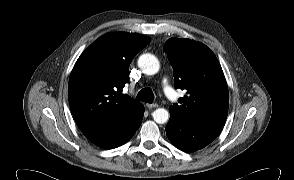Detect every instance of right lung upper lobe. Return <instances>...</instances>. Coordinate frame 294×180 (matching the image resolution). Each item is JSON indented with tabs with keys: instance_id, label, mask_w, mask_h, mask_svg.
I'll return each mask as SVG.
<instances>
[{
	"instance_id": "cb5924a9",
	"label": "right lung upper lobe",
	"mask_w": 294,
	"mask_h": 180,
	"mask_svg": "<svg viewBox=\"0 0 294 180\" xmlns=\"http://www.w3.org/2000/svg\"><path fill=\"white\" fill-rule=\"evenodd\" d=\"M150 40L136 33H108L81 54L68 86L71 111L80 129L111 125L138 103L121 92L132 59Z\"/></svg>"
}]
</instances>
